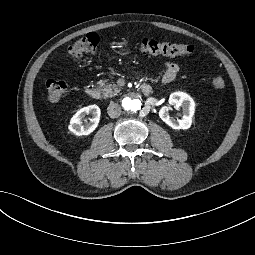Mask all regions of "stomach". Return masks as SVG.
<instances>
[{"label":"stomach","mask_w":255,"mask_h":255,"mask_svg":"<svg viewBox=\"0 0 255 255\" xmlns=\"http://www.w3.org/2000/svg\"><path fill=\"white\" fill-rule=\"evenodd\" d=\"M116 53L121 57H128L131 55V50L129 48H119Z\"/></svg>","instance_id":"1"}]
</instances>
